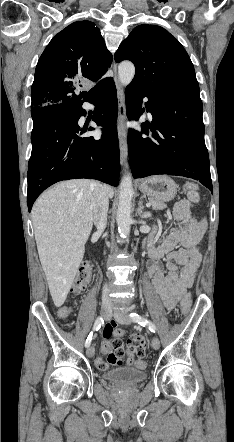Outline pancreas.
Masks as SVG:
<instances>
[{
    "label": "pancreas",
    "instance_id": "cf45deb5",
    "mask_svg": "<svg viewBox=\"0 0 234 442\" xmlns=\"http://www.w3.org/2000/svg\"><path fill=\"white\" fill-rule=\"evenodd\" d=\"M149 202L151 203L152 208L154 210H162V209L166 208V204L163 201L151 198V199H149Z\"/></svg>",
    "mask_w": 234,
    "mask_h": 442
}]
</instances>
